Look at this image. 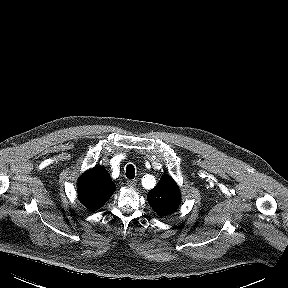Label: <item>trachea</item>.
Instances as JSON below:
<instances>
[{
	"mask_svg": "<svg viewBox=\"0 0 288 288\" xmlns=\"http://www.w3.org/2000/svg\"><path fill=\"white\" fill-rule=\"evenodd\" d=\"M126 177L128 179H134L135 177V168L131 164L127 165L126 167Z\"/></svg>",
	"mask_w": 288,
	"mask_h": 288,
	"instance_id": "1",
	"label": "trachea"
}]
</instances>
